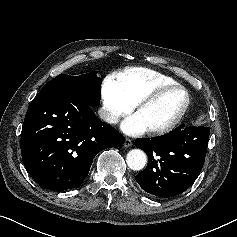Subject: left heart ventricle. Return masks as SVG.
Instances as JSON below:
<instances>
[{"label": "left heart ventricle", "instance_id": "1", "mask_svg": "<svg viewBox=\"0 0 237 237\" xmlns=\"http://www.w3.org/2000/svg\"><path fill=\"white\" fill-rule=\"evenodd\" d=\"M185 93L174 90L145 106L136 115L148 129L162 127L172 121L185 103Z\"/></svg>", "mask_w": 237, "mask_h": 237}]
</instances>
